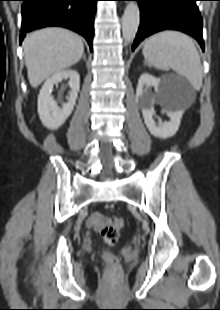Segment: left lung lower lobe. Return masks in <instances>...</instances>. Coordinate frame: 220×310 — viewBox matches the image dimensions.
Masks as SVG:
<instances>
[{
  "label": "left lung lower lobe",
  "mask_w": 220,
  "mask_h": 310,
  "mask_svg": "<svg viewBox=\"0 0 220 310\" xmlns=\"http://www.w3.org/2000/svg\"><path fill=\"white\" fill-rule=\"evenodd\" d=\"M141 21L132 50L146 37L163 30H178L194 37L204 51L198 0H135Z\"/></svg>",
  "instance_id": "0a47b994"
}]
</instances>
